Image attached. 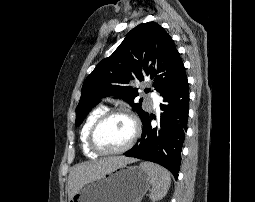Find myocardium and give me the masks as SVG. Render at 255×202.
<instances>
[{
    "mask_svg": "<svg viewBox=\"0 0 255 202\" xmlns=\"http://www.w3.org/2000/svg\"><path fill=\"white\" fill-rule=\"evenodd\" d=\"M113 116H124L128 118L132 125H133V134L131 139L128 141L126 145H124L122 148L117 149V150H104L102 149L96 142V134L100 126L109 118ZM141 135V125L137 117L125 110V109H112V110H107L103 114H101L93 123L89 134H88V144L89 147L98 155H118L122 154L126 151H128L130 148L133 147V145L137 142Z\"/></svg>",
    "mask_w": 255,
    "mask_h": 202,
    "instance_id": "myocardium-1",
    "label": "myocardium"
}]
</instances>
